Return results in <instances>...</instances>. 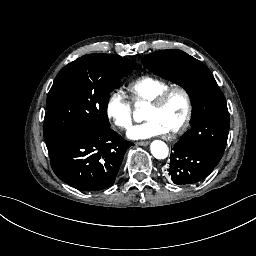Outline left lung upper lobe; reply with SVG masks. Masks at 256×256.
Segmentation results:
<instances>
[{
    "label": "left lung upper lobe",
    "mask_w": 256,
    "mask_h": 256,
    "mask_svg": "<svg viewBox=\"0 0 256 256\" xmlns=\"http://www.w3.org/2000/svg\"><path fill=\"white\" fill-rule=\"evenodd\" d=\"M142 63L181 85L194 107L192 129L174 146L169 172L209 175L224 153L230 124L225 97L213 75L202 62L175 49L151 53Z\"/></svg>",
    "instance_id": "left-lung-upper-lobe-1"
}]
</instances>
